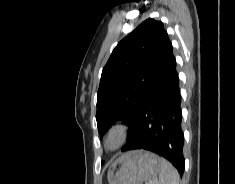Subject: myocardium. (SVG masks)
<instances>
[{
  "instance_id": "1",
  "label": "myocardium",
  "mask_w": 235,
  "mask_h": 184,
  "mask_svg": "<svg viewBox=\"0 0 235 184\" xmlns=\"http://www.w3.org/2000/svg\"><path fill=\"white\" fill-rule=\"evenodd\" d=\"M130 123L125 118H119L114 121L105 131L101 145L102 148L109 153H115L121 149L130 134ZM114 139L115 143L109 147L107 142L109 139Z\"/></svg>"
}]
</instances>
